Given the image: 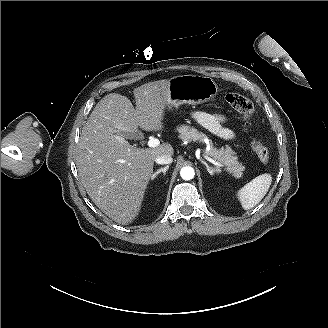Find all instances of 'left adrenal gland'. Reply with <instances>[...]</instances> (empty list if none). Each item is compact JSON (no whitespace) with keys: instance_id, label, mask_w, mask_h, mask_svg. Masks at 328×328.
I'll return each instance as SVG.
<instances>
[{"instance_id":"obj_1","label":"left adrenal gland","mask_w":328,"mask_h":328,"mask_svg":"<svg viewBox=\"0 0 328 328\" xmlns=\"http://www.w3.org/2000/svg\"><path fill=\"white\" fill-rule=\"evenodd\" d=\"M202 164L205 165V167L207 168V171H208V173H209L210 175L213 176L214 174L217 173L216 170H211L210 167H209V165H208L205 161H202Z\"/></svg>"}]
</instances>
